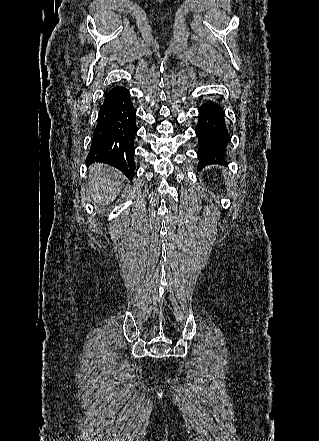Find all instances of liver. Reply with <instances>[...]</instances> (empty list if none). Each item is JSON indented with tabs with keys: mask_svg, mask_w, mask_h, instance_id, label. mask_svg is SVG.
Instances as JSON below:
<instances>
[{
	"mask_svg": "<svg viewBox=\"0 0 319 441\" xmlns=\"http://www.w3.org/2000/svg\"><path fill=\"white\" fill-rule=\"evenodd\" d=\"M125 176L118 170L104 164H94L89 171L87 200L103 206L110 204L120 193Z\"/></svg>",
	"mask_w": 319,
	"mask_h": 441,
	"instance_id": "liver-1",
	"label": "liver"
}]
</instances>
